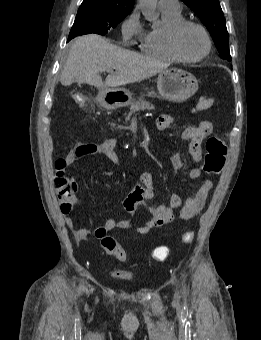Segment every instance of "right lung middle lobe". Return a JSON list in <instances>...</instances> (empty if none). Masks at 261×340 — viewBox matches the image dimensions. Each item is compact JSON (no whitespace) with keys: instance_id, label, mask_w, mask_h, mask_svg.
<instances>
[{"instance_id":"dd1d6c3e","label":"right lung middle lobe","mask_w":261,"mask_h":340,"mask_svg":"<svg viewBox=\"0 0 261 340\" xmlns=\"http://www.w3.org/2000/svg\"><path fill=\"white\" fill-rule=\"evenodd\" d=\"M127 15V13L112 8L81 5L69 37L89 33L105 35L110 28H115Z\"/></svg>"}]
</instances>
